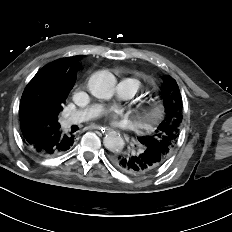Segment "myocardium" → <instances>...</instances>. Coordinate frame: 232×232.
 <instances>
[{"mask_svg":"<svg viewBox=\"0 0 232 232\" xmlns=\"http://www.w3.org/2000/svg\"><path fill=\"white\" fill-rule=\"evenodd\" d=\"M158 115H159V108L156 105L151 104L143 108L141 113V119L143 121H151L156 119Z\"/></svg>","mask_w":232,"mask_h":232,"instance_id":"1","label":"myocardium"}]
</instances>
